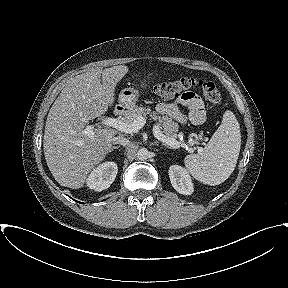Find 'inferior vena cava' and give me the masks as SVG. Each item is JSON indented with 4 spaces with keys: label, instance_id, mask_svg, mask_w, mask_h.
<instances>
[{
    "label": "inferior vena cava",
    "instance_id": "inferior-vena-cava-1",
    "mask_svg": "<svg viewBox=\"0 0 288 288\" xmlns=\"http://www.w3.org/2000/svg\"><path fill=\"white\" fill-rule=\"evenodd\" d=\"M112 143L125 146L129 144V140L123 136H117L112 139Z\"/></svg>",
    "mask_w": 288,
    "mask_h": 288
}]
</instances>
